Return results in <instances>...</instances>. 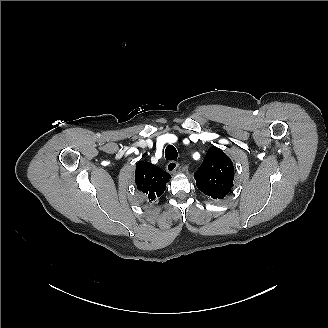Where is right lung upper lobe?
Segmentation results:
<instances>
[{
    "label": "right lung upper lobe",
    "instance_id": "cb5924a9",
    "mask_svg": "<svg viewBox=\"0 0 328 328\" xmlns=\"http://www.w3.org/2000/svg\"><path fill=\"white\" fill-rule=\"evenodd\" d=\"M135 172L137 188L146 194L149 202L163 194L165 184L171 178L170 174L149 162H138Z\"/></svg>",
    "mask_w": 328,
    "mask_h": 328
}]
</instances>
